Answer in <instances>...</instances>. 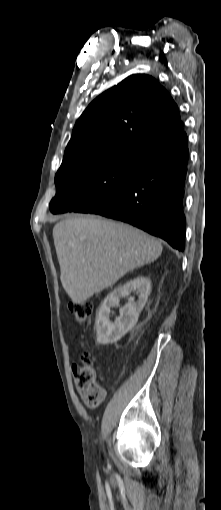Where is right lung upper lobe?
Instances as JSON below:
<instances>
[{
  "label": "right lung upper lobe",
  "mask_w": 221,
  "mask_h": 510,
  "mask_svg": "<svg viewBox=\"0 0 221 510\" xmlns=\"http://www.w3.org/2000/svg\"><path fill=\"white\" fill-rule=\"evenodd\" d=\"M178 107L155 79L133 75L105 91L77 120L63 162L122 147L147 150L182 136Z\"/></svg>",
  "instance_id": "1"
}]
</instances>
